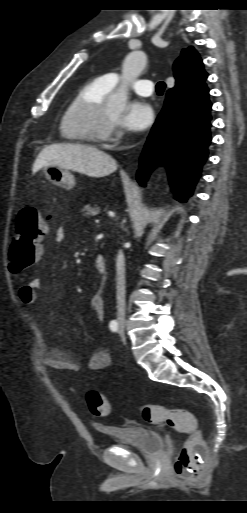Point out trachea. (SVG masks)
Returning <instances> with one entry per match:
<instances>
[{"label": "trachea", "mask_w": 247, "mask_h": 513, "mask_svg": "<svg viewBox=\"0 0 247 513\" xmlns=\"http://www.w3.org/2000/svg\"><path fill=\"white\" fill-rule=\"evenodd\" d=\"M166 84L162 81L158 82L156 85V91L159 95H162L165 90Z\"/></svg>", "instance_id": "1"}]
</instances>
